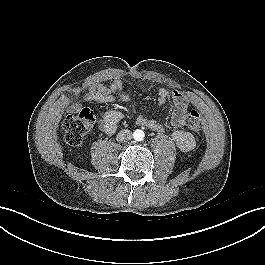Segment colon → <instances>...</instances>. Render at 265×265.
<instances>
[{"label": "colon", "instance_id": "colon-1", "mask_svg": "<svg viewBox=\"0 0 265 265\" xmlns=\"http://www.w3.org/2000/svg\"><path fill=\"white\" fill-rule=\"evenodd\" d=\"M94 114L90 109L84 108L77 114L68 115L63 120L64 137L68 144L77 146L81 144L84 136L93 128ZM186 125L189 130L199 133L201 131V115L194 109H189Z\"/></svg>", "mask_w": 265, "mask_h": 265}]
</instances>
